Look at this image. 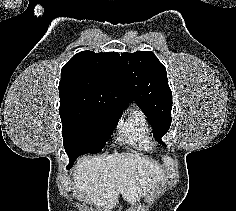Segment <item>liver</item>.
Listing matches in <instances>:
<instances>
[{
    "mask_svg": "<svg viewBox=\"0 0 236 211\" xmlns=\"http://www.w3.org/2000/svg\"><path fill=\"white\" fill-rule=\"evenodd\" d=\"M151 160L134 153H114L80 162L73 173L74 188L100 210L112 211L121 194L130 204L140 201L164 178Z\"/></svg>",
    "mask_w": 236,
    "mask_h": 211,
    "instance_id": "6515ba94",
    "label": "liver"
}]
</instances>
